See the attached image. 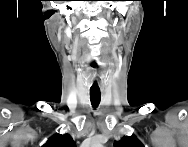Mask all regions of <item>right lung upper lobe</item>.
I'll use <instances>...</instances> for the list:
<instances>
[{
    "instance_id": "obj_1",
    "label": "right lung upper lobe",
    "mask_w": 188,
    "mask_h": 147,
    "mask_svg": "<svg viewBox=\"0 0 188 147\" xmlns=\"http://www.w3.org/2000/svg\"><path fill=\"white\" fill-rule=\"evenodd\" d=\"M43 147H75V144L68 134H55L48 139Z\"/></svg>"
}]
</instances>
